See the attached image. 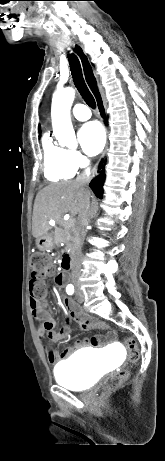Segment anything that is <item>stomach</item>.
<instances>
[{"instance_id": "obj_1", "label": "stomach", "mask_w": 165, "mask_h": 461, "mask_svg": "<svg viewBox=\"0 0 165 461\" xmlns=\"http://www.w3.org/2000/svg\"><path fill=\"white\" fill-rule=\"evenodd\" d=\"M52 234L45 233L36 240V246L40 251H45L52 248Z\"/></svg>"}]
</instances>
